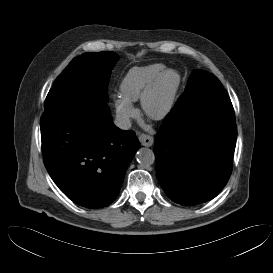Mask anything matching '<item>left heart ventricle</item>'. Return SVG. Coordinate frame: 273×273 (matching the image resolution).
Masks as SVG:
<instances>
[{
  "mask_svg": "<svg viewBox=\"0 0 273 273\" xmlns=\"http://www.w3.org/2000/svg\"><path fill=\"white\" fill-rule=\"evenodd\" d=\"M168 86H169V80L167 79L166 81H164L158 93L156 94L155 99L150 104V107L152 108L154 112H158L159 109L161 108V105L167 100L169 96Z\"/></svg>",
  "mask_w": 273,
  "mask_h": 273,
  "instance_id": "b2bd125f",
  "label": "left heart ventricle"
}]
</instances>
